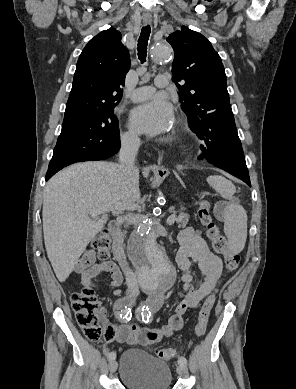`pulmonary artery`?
Masks as SVG:
<instances>
[{
	"instance_id": "1",
	"label": "pulmonary artery",
	"mask_w": 296,
	"mask_h": 389,
	"mask_svg": "<svg viewBox=\"0 0 296 389\" xmlns=\"http://www.w3.org/2000/svg\"><path fill=\"white\" fill-rule=\"evenodd\" d=\"M167 84V77L165 75H158L155 78V86H143L137 88L131 94V100L134 102L146 100L154 94L156 88H164L167 86Z\"/></svg>"
}]
</instances>
